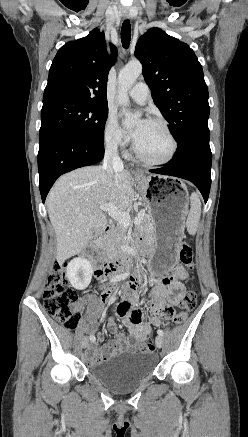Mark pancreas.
<instances>
[{
	"mask_svg": "<svg viewBox=\"0 0 248 437\" xmlns=\"http://www.w3.org/2000/svg\"><path fill=\"white\" fill-rule=\"evenodd\" d=\"M142 235L147 239L152 237L151 221L148 217H143L140 224L137 226ZM127 242V228L121 224L111 231L104 242V250L110 257H115L120 252L121 246Z\"/></svg>",
	"mask_w": 248,
	"mask_h": 437,
	"instance_id": "obj_1",
	"label": "pancreas"
}]
</instances>
